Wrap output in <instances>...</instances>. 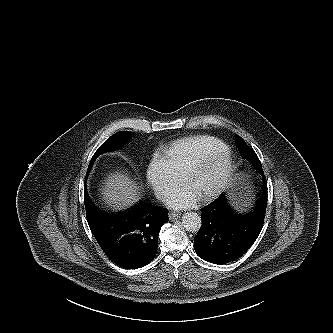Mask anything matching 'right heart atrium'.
<instances>
[{
  "label": "right heart atrium",
  "mask_w": 333,
  "mask_h": 333,
  "mask_svg": "<svg viewBox=\"0 0 333 333\" xmlns=\"http://www.w3.org/2000/svg\"><path fill=\"white\" fill-rule=\"evenodd\" d=\"M146 181L159 199H165L181 184V177L171 171L162 156L154 155L146 169Z\"/></svg>",
  "instance_id": "1"
}]
</instances>
